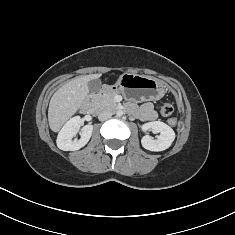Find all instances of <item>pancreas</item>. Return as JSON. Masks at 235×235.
<instances>
[{
	"label": "pancreas",
	"instance_id": "pancreas-1",
	"mask_svg": "<svg viewBox=\"0 0 235 235\" xmlns=\"http://www.w3.org/2000/svg\"><path fill=\"white\" fill-rule=\"evenodd\" d=\"M117 95L115 91H104L94 95L93 101L98 108L116 109L118 107L114 98Z\"/></svg>",
	"mask_w": 235,
	"mask_h": 235
}]
</instances>
